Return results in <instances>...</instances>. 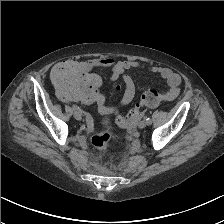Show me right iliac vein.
Instances as JSON below:
<instances>
[{"mask_svg":"<svg viewBox=\"0 0 224 224\" xmlns=\"http://www.w3.org/2000/svg\"><path fill=\"white\" fill-rule=\"evenodd\" d=\"M74 118L76 120H81L82 119V114L79 112L74 111Z\"/></svg>","mask_w":224,"mask_h":224,"instance_id":"right-iliac-vein-1","label":"right iliac vein"}]
</instances>
